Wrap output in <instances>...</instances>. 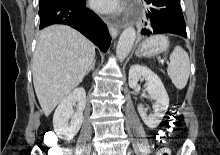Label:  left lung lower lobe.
<instances>
[{
  "mask_svg": "<svg viewBox=\"0 0 220 155\" xmlns=\"http://www.w3.org/2000/svg\"><path fill=\"white\" fill-rule=\"evenodd\" d=\"M150 5L147 22L141 35L148 37L160 33H172L186 38V25L182 14L180 0H146Z\"/></svg>",
  "mask_w": 220,
  "mask_h": 155,
  "instance_id": "0a47b994",
  "label": "left lung lower lobe"
}]
</instances>
